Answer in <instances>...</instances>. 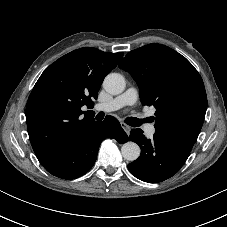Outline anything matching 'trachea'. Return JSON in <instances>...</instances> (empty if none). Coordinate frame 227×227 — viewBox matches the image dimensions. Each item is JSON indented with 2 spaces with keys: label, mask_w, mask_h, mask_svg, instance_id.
Returning <instances> with one entry per match:
<instances>
[{
  "label": "trachea",
  "mask_w": 227,
  "mask_h": 227,
  "mask_svg": "<svg viewBox=\"0 0 227 227\" xmlns=\"http://www.w3.org/2000/svg\"><path fill=\"white\" fill-rule=\"evenodd\" d=\"M104 118V113L100 112L97 114L96 119L97 120H102ZM125 122L130 125V126H139L142 123V120L137 119V118H133V117H128L126 118Z\"/></svg>",
  "instance_id": "1"
}]
</instances>
